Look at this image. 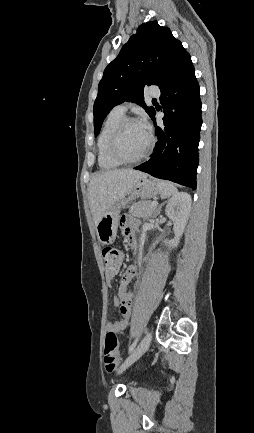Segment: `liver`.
<instances>
[{"instance_id": "6515ba94", "label": "liver", "mask_w": 254, "mask_h": 433, "mask_svg": "<svg viewBox=\"0 0 254 433\" xmlns=\"http://www.w3.org/2000/svg\"><path fill=\"white\" fill-rule=\"evenodd\" d=\"M142 177L147 175L132 169L95 173L88 187V199L95 225L114 203L130 194L136 180Z\"/></svg>"}]
</instances>
